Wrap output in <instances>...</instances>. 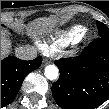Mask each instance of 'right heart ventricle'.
Masks as SVG:
<instances>
[{"label":"right heart ventricle","mask_w":109,"mask_h":109,"mask_svg":"<svg viewBox=\"0 0 109 109\" xmlns=\"http://www.w3.org/2000/svg\"><path fill=\"white\" fill-rule=\"evenodd\" d=\"M87 32V29L82 25H75L71 27L69 30L65 32H60L56 34L54 37L51 38L50 43L51 47H59L67 45L73 41L80 40L85 33ZM43 48L45 51H49L50 48L48 46L43 45Z\"/></svg>","instance_id":"right-heart-ventricle-1"}]
</instances>
